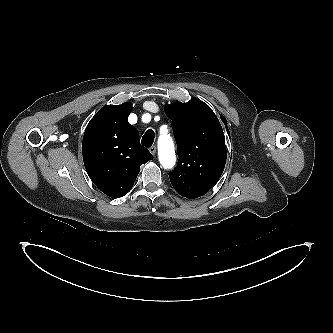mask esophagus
<instances>
[{"label": "esophagus", "instance_id": "esophagus-1", "mask_svg": "<svg viewBox=\"0 0 333 333\" xmlns=\"http://www.w3.org/2000/svg\"><path fill=\"white\" fill-rule=\"evenodd\" d=\"M149 152L154 156L156 154V146L149 147Z\"/></svg>", "mask_w": 333, "mask_h": 333}]
</instances>
